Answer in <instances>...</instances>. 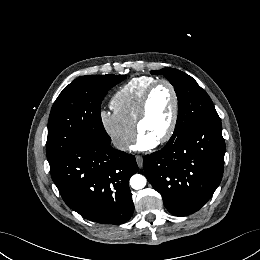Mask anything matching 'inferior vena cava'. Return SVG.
<instances>
[{"mask_svg": "<svg viewBox=\"0 0 260 260\" xmlns=\"http://www.w3.org/2000/svg\"><path fill=\"white\" fill-rule=\"evenodd\" d=\"M129 142L121 139H117L113 141V145L115 148L125 151L129 148Z\"/></svg>", "mask_w": 260, "mask_h": 260, "instance_id": "inferior-vena-cava-1", "label": "inferior vena cava"}]
</instances>
